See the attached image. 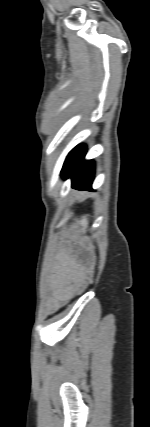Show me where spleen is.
<instances>
[{
    "instance_id": "obj_1",
    "label": "spleen",
    "mask_w": 150,
    "mask_h": 427,
    "mask_svg": "<svg viewBox=\"0 0 150 427\" xmlns=\"http://www.w3.org/2000/svg\"><path fill=\"white\" fill-rule=\"evenodd\" d=\"M79 222H80V225L82 226V230L85 232L86 229H87V227H88V218H87V216H83L80 219Z\"/></svg>"
}]
</instances>
